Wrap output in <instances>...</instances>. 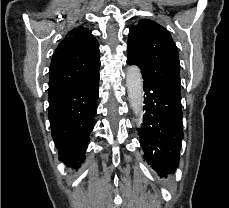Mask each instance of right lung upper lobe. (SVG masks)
Listing matches in <instances>:
<instances>
[{"label":"right lung upper lobe","mask_w":229,"mask_h":208,"mask_svg":"<svg viewBox=\"0 0 229 208\" xmlns=\"http://www.w3.org/2000/svg\"><path fill=\"white\" fill-rule=\"evenodd\" d=\"M100 66L99 45L87 28L69 31L53 54L49 95L91 76Z\"/></svg>","instance_id":"obj_1"}]
</instances>
